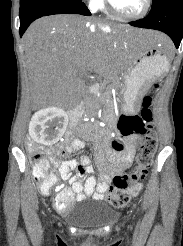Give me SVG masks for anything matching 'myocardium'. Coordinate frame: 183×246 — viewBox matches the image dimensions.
I'll return each mask as SVG.
<instances>
[{"label": "myocardium", "instance_id": "1", "mask_svg": "<svg viewBox=\"0 0 183 246\" xmlns=\"http://www.w3.org/2000/svg\"><path fill=\"white\" fill-rule=\"evenodd\" d=\"M105 5H106L107 11L110 14H112L114 17L122 19V20H126V21H133V20H138V19L143 18L149 12L151 5H152V0H145L143 9L135 15H125V14L120 13L114 7L111 0H105Z\"/></svg>", "mask_w": 183, "mask_h": 246}]
</instances>
